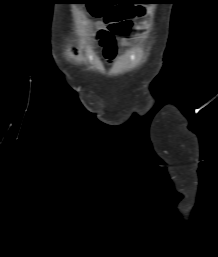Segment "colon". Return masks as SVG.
<instances>
[{
  "mask_svg": "<svg viewBox=\"0 0 218 257\" xmlns=\"http://www.w3.org/2000/svg\"><path fill=\"white\" fill-rule=\"evenodd\" d=\"M145 9V5H83V10H95L94 15L97 17L103 15L106 24L117 35L131 33V18L144 15Z\"/></svg>",
  "mask_w": 218,
  "mask_h": 257,
  "instance_id": "colon-1",
  "label": "colon"
}]
</instances>
